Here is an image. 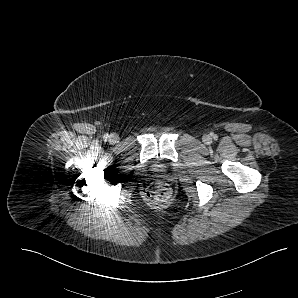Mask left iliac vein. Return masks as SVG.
<instances>
[{"instance_id": "4c4485c4", "label": "left iliac vein", "mask_w": 298, "mask_h": 298, "mask_svg": "<svg viewBox=\"0 0 298 298\" xmlns=\"http://www.w3.org/2000/svg\"><path fill=\"white\" fill-rule=\"evenodd\" d=\"M203 141H204L205 143H209V142L211 141V138H210L209 136H204V137H203Z\"/></svg>"}]
</instances>
